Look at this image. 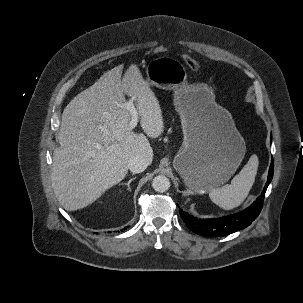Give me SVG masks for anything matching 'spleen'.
Listing matches in <instances>:
<instances>
[{"label": "spleen", "mask_w": 303, "mask_h": 303, "mask_svg": "<svg viewBox=\"0 0 303 303\" xmlns=\"http://www.w3.org/2000/svg\"><path fill=\"white\" fill-rule=\"evenodd\" d=\"M258 163L257 155L253 154L239 174L232 179L231 184L211 189L209 197L212 202L224 210L241 205L254 184Z\"/></svg>", "instance_id": "3e777b00"}]
</instances>
